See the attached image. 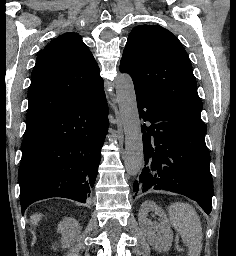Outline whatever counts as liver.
<instances>
[{
    "label": "liver",
    "instance_id": "obj_1",
    "mask_svg": "<svg viewBox=\"0 0 236 256\" xmlns=\"http://www.w3.org/2000/svg\"><path fill=\"white\" fill-rule=\"evenodd\" d=\"M40 220V214H33V216H30V222L33 224V226H38V222H40Z\"/></svg>",
    "mask_w": 236,
    "mask_h": 256
}]
</instances>
